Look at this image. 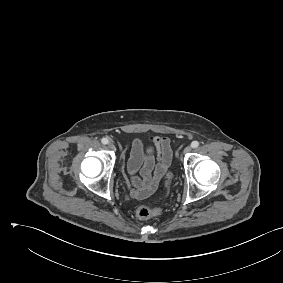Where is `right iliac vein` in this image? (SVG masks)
<instances>
[{"label": "right iliac vein", "mask_w": 283, "mask_h": 283, "mask_svg": "<svg viewBox=\"0 0 283 283\" xmlns=\"http://www.w3.org/2000/svg\"><path fill=\"white\" fill-rule=\"evenodd\" d=\"M108 148L113 151L116 149L115 145L112 142L108 144Z\"/></svg>", "instance_id": "1"}]
</instances>
